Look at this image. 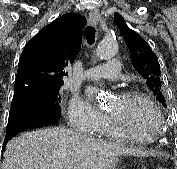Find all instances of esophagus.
<instances>
[{
	"instance_id": "1",
	"label": "esophagus",
	"mask_w": 177,
	"mask_h": 169,
	"mask_svg": "<svg viewBox=\"0 0 177 169\" xmlns=\"http://www.w3.org/2000/svg\"><path fill=\"white\" fill-rule=\"evenodd\" d=\"M100 20V13L98 9H93L89 13L88 23L91 26H95Z\"/></svg>"
}]
</instances>
